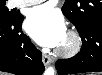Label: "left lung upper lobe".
<instances>
[{"label":"left lung upper lobe","mask_w":102,"mask_h":75,"mask_svg":"<svg viewBox=\"0 0 102 75\" xmlns=\"http://www.w3.org/2000/svg\"><path fill=\"white\" fill-rule=\"evenodd\" d=\"M62 12L76 28L86 23H102L101 0H65Z\"/></svg>","instance_id":"5c2ea615"}]
</instances>
